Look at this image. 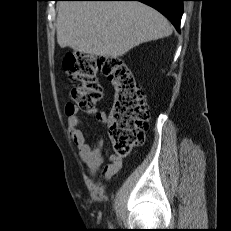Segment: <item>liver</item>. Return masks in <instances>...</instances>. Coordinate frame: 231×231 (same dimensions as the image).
<instances>
[{
  "label": "liver",
  "mask_w": 231,
  "mask_h": 231,
  "mask_svg": "<svg viewBox=\"0 0 231 231\" xmlns=\"http://www.w3.org/2000/svg\"><path fill=\"white\" fill-rule=\"evenodd\" d=\"M155 9L133 1H62L57 42L89 55L118 58L132 48L172 34Z\"/></svg>",
  "instance_id": "obj_1"
}]
</instances>
